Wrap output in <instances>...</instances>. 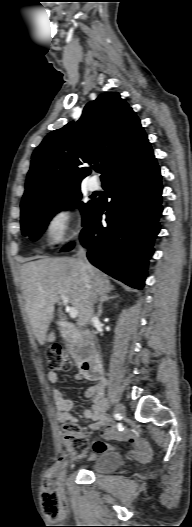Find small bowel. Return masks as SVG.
<instances>
[{
  "label": "small bowel",
  "instance_id": "small-bowel-1",
  "mask_svg": "<svg viewBox=\"0 0 192 527\" xmlns=\"http://www.w3.org/2000/svg\"><path fill=\"white\" fill-rule=\"evenodd\" d=\"M75 378L77 380L86 378L95 382L85 391L86 397L90 398L92 401V409H85L82 412L85 418L92 421L88 427L89 431H97L101 428H104V430L101 432V435L106 438H112L120 442L128 443L130 445V455L133 458L138 460L148 459L151 455V450L147 442L135 436L127 428L119 431L116 426L109 425L110 416L107 413V400L104 394V380L98 381L90 379L85 377L83 373L76 374ZM48 379L53 384L57 383L58 376L56 372L50 371L48 373ZM53 399L57 410V420L62 424L72 421L76 422V418L70 414V411L74 406L73 400L65 398L63 393L58 389L53 390ZM117 448H119L117 445L108 444L103 441H96L93 444L94 454L103 451L114 450Z\"/></svg>",
  "mask_w": 192,
  "mask_h": 527
}]
</instances>
